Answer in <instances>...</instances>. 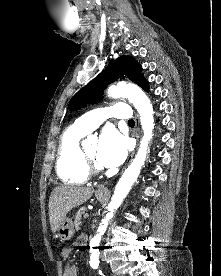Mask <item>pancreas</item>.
<instances>
[{"label": "pancreas", "instance_id": "cf45deb5", "mask_svg": "<svg viewBox=\"0 0 221 276\" xmlns=\"http://www.w3.org/2000/svg\"><path fill=\"white\" fill-rule=\"evenodd\" d=\"M86 208H81L75 215V220H74V224H75V228L76 230H79L80 225L82 224V214H84L86 212Z\"/></svg>", "mask_w": 221, "mask_h": 276}]
</instances>
